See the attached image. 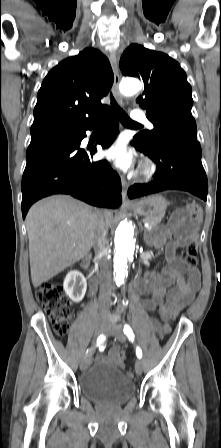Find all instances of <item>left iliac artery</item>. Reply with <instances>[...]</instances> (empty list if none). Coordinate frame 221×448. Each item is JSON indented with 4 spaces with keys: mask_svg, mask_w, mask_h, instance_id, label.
I'll list each match as a JSON object with an SVG mask.
<instances>
[{
    "mask_svg": "<svg viewBox=\"0 0 221 448\" xmlns=\"http://www.w3.org/2000/svg\"><path fill=\"white\" fill-rule=\"evenodd\" d=\"M123 331L130 341L134 340V333L129 325L125 324ZM136 355L139 359L142 357V350L139 347L136 348Z\"/></svg>",
    "mask_w": 221,
    "mask_h": 448,
    "instance_id": "1",
    "label": "left iliac artery"
}]
</instances>
